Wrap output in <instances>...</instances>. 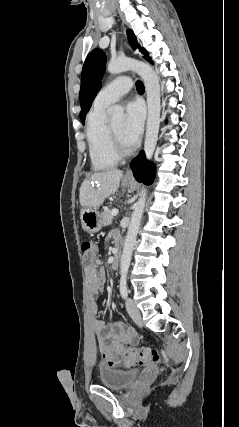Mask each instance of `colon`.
Returning a JSON list of instances; mask_svg holds the SVG:
<instances>
[{
	"label": "colon",
	"instance_id": "colon-1",
	"mask_svg": "<svg viewBox=\"0 0 239 427\" xmlns=\"http://www.w3.org/2000/svg\"><path fill=\"white\" fill-rule=\"evenodd\" d=\"M83 261L86 265L92 264L97 256L96 244L92 241H84L81 245ZM115 352L121 356L126 366L155 365L160 356L156 349L140 346L137 348L117 346Z\"/></svg>",
	"mask_w": 239,
	"mask_h": 427
}]
</instances>
